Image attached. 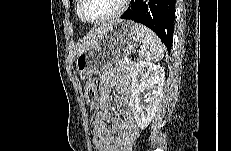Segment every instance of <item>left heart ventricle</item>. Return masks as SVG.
<instances>
[{
	"label": "left heart ventricle",
	"instance_id": "b2bd125f",
	"mask_svg": "<svg viewBox=\"0 0 231 151\" xmlns=\"http://www.w3.org/2000/svg\"><path fill=\"white\" fill-rule=\"evenodd\" d=\"M122 0H85L84 15L91 20L100 19L114 13Z\"/></svg>",
	"mask_w": 231,
	"mask_h": 151
}]
</instances>
